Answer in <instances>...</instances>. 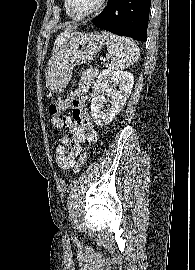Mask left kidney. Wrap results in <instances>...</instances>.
Listing matches in <instances>:
<instances>
[{
  "label": "left kidney",
  "mask_w": 195,
  "mask_h": 270,
  "mask_svg": "<svg viewBox=\"0 0 195 270\" xmlns=\"http://www.w3.org/2000/svg\"><path fill=\"white\" fill-rule=\"evenodd\" d=\"M111 83L118 86L114 89ZM134 84V76L127 71L103 70L93 86L91 116L99 125L109 124L125 105ZM108 99H106V97ZM110 103L105 110L104 104Z\"/></svg>",
  "instance_id": "1"
}]
</instances>
